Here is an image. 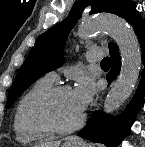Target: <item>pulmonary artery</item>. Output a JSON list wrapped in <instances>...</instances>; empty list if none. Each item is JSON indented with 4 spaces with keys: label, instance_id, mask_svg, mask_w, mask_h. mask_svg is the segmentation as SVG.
I'll list each match as a JSON object with an SVG mask.
<instances>
[{
    "label": "pulmonary artery",
    "instance_id": "1",
    "mask_svg": "<svg viewBox=\"0 0 145 147\" xmlns=\"http://www.w3.org/2000/svg\"><path fill=\"white\" fill-rule=\"evenodd\" d=\"M104 52L100 48H93L86 52L85 57L88 62H95L103 58ZM48 78L55 80L57 78V73L52 71L46 75Z\"/></svg>",
    "mask_w": 145,
    "mask_h": 147
}]
</instances>
